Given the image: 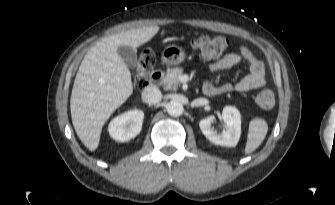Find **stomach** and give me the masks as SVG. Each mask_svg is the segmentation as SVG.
<instances>
[{
  "label": "stomach",
  "instance_id": "obj_1",
  "mask_svg": "<svg viewBox=\"0 0 335 205\" xmlns=\"http://www.w3.org/2000/svg\"><path fill=\"white\" fill-rule=\"evenodd\" d=\"M185 56L184 50L176 45L167 46L161 53L162 61L169 66L181 64Z\"/></svg>",
  "mask_w": 335,
  "mask_h": 205
}]
</instances>
